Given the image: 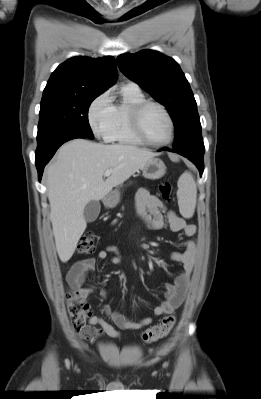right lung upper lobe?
Listing matches in <instances>:
<instances>
[{
    "label": "right lung upper lobe",
    "mask_w": 261,
    "mask_h": 399,
    "mask_svg": "<svg viewBox=\"0 0 261 399\" xmlns=\"http://www.w3.org/2000/svg\"><path fill=\"white\" fill-rule=\"evenodd\" d=\"M117 79L115 59L73 57L52 73L44 91L46 96L100 95Z\"/></svg>",
    "instance_id": "cb5924a9"
}]
</instances>
